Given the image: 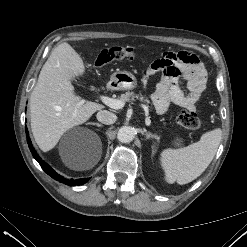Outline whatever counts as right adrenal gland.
I'll return each mask as SVG.
<instances>
[{"label":"right adrenal gland","instance_id":"2a0ac1e0","mask_svg":"<svg viewBox=\"0 0 247 247\" xmlns=\"http://www.w3.org/2000/svg\"><path fill=\"white\" fill-rule=\"evenodd\" d=\"M89 124H91V125H96L97 127H101V126H103L102 124H100V123H96V122H91V123H89Z\"/></svg>","mask_w":247,"mask_h":247}]
</instances>
